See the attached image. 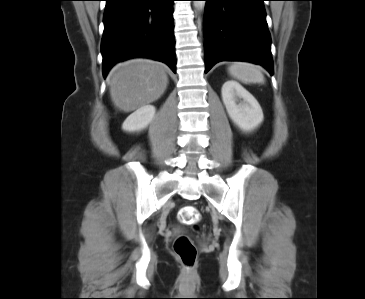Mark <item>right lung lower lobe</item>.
<instances>
[{"label":"right lung lower lobe","instance_id":"98d812e1","mask_svg":"<svg viewBox=\"0 0 365 299\" xmlns=\"http://www.w3.org/2000/svg\"><path fill=\"white\" fill-rule=\"evenodd\" d=\"M101 42L103 76L134 57L162 61L176 73L174 0H105Z\"/></svg>","mask_w":365,"mask_h":299}]
</instances>
